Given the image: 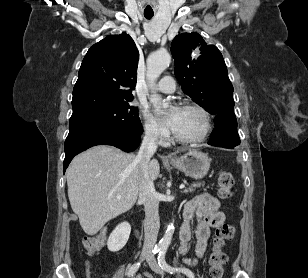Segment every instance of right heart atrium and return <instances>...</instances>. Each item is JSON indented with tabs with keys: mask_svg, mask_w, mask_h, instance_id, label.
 <instances>
[{
	"mask_svg": "<svg viewBox=\"0 0 308 278\" xmlns=\"http://www.w3.org/2000/svg\"><path fill=\"white\" fill-rule=\"evenodd\" d=\"M143 132L146 139L163 144L168 139V131L147 111L142 114Z\"/></svg>",
	"mask_w": 308,
	"mask_h": 278,
	"instance_id": "obj_1",
	"label": "right heart atrium"
}]
</instances>
